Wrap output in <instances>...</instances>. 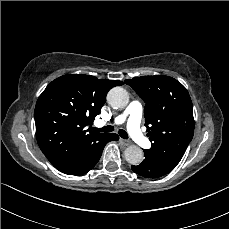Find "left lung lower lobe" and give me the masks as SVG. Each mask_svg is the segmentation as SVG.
<instances>
[{
  "instance_id": "1",
  "label": "left lung lower lobe",
  "mask_w": 229,
  "mask_h": 229,
  "mask_svg": "<svg viewBox=\"0 0 229 229\" xmlns=\"http://www.w3.org/2000/svg\"><path fill=\"white\" fill-rule=\"evenodd\" d=\"M145 155V152H144ZM132 170L138 175L144 178L156 179L160 178L166 174L165 171L160 170L156 165H154L147 157L143 160V162L137 166H132Z\"/></svg>"
}]
</instances>
